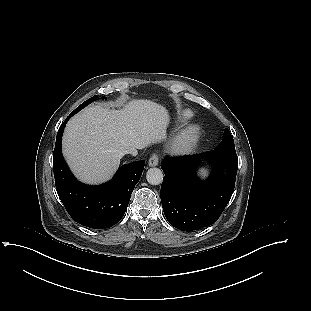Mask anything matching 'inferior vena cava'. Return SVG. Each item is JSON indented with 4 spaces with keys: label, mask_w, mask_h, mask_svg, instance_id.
<instances>
[{
    "label": "inferior vena cava",
    "mask_w": 311,
    "mask_h": 311,
    "mask_svg": "<svg viewBox=\"0 0 311 311\" xmlns=\"http://www.w3.org/2000/svg\"><path fill=\"white\" fill-rule=\"evenodd\" d=\"M137 151V146L135 144H130L127 148H126V153L129 156H134L136 154Z\"/></svg>",
    "instance_id": "1"
}]
</instances>
